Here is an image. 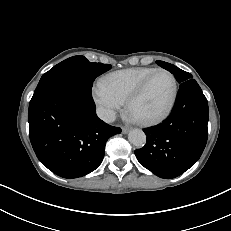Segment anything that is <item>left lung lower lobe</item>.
Here are the masks:
<instances>
[{
  "label": "left lung lower lobe",
  "mask_w": 231,
  "mask_h": 231,
  "mask_svg": "<svg viewBox=\"0 0 231 231\" xmlns=\"http://www.w3.org/2000/svg\"><path fill=\"white\" fill-rule=\"evenodd\" d=\"M208 103L194 79L181 83L170 116L145 129L147 142L135 150L139 163L155 175L175 178L200 158L207 142Z\"/></svg>",
  "instance_id": "obj_1"
}]
</instances>
